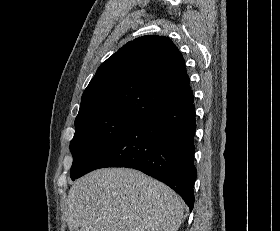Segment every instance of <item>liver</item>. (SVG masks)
I'll return each mask as SVG.
<instances>
[{"mask_svg":"<svg viewBox=\"0 0 280 231\" xmlns=\"http://www.w3.org/2000/svg\"><path fill=\"white\" fill-rule=\"evenodd\" d=\"M65 211L70 231H177L184 203L138 169L104 167L74 181Z\"/></svg>","mask_w":280,"mask_h":231,"instance_id":"liver-1","label":"liver"}]
</instances>
